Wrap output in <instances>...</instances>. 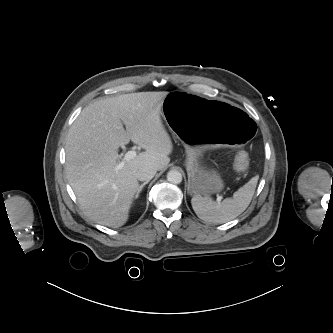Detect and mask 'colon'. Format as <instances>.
Returning <instances> with one entry per match:
<instances>
[{"instance_id": "obj_1", "label": "colon", "mask_w": 333, "mask_h": 333, "mask_svg": "<svg viewBox=\"0 0 333 333\" xmlns=\"http://www.w3.org/2000/svg\"><path fill=\"white\" fill-rule=\"evenodd\" d=\"M248 164V156H247V153L244 152V151H240L238 154H237V157H236V165H237V168L240 169V170H243L246 168Z\"/></svg>"}]
</instances>
